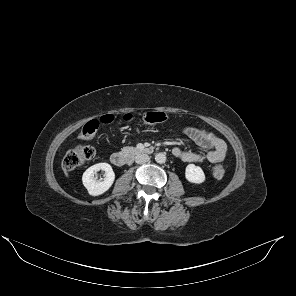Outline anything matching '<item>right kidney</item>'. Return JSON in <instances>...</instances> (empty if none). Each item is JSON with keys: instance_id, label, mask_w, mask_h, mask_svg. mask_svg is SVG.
Here are the masks:
<instances>
[{"instance_id": "obj_1", "label": "right kidney", "mask_w": 296, "mask_h": 296, "mask_svg": "<svg viewBox=\"0 0 296 296\" xmlns=\"http://www.w3.org/2000/svg\"><path fill=\"white\" fill-rule=\"evenodd\" d=\"M104 170L105 178L98 181L94 175L97 171ZM115 180V173L108 163H98L89 167L82 176V182L87 189L89 195L98 196L105 193L112 186Z\"/></svg>"}]
</instances>
